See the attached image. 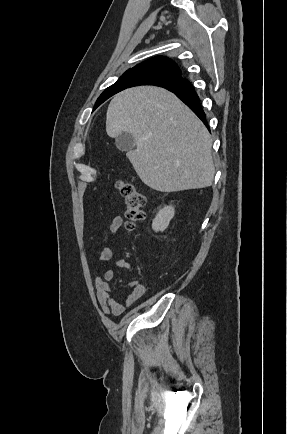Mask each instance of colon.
Returning a JSON list of instances; mask_svg holds the SVG:
<instances>
[{"instance_id": "5ec220e1", "label": "colon", "mask_w": 287, "mask_h": 434, "mask_svg": "<svg viewBox=\"0 0 287 434\" xmlns=\"http://www.w3.org/2000/svg\"><path fill=\"white\" fill-rule=\"evenodd\" d=\"M116 187L124 197L126 226L131 230L145 217V198L140 192L139 186L133 182L118 181Z\"/></svg>"}]
</instances>
